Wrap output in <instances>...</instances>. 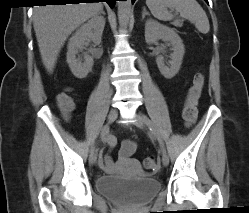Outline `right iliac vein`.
Segmentation results:
<instances>
[{"instance_id": "63e3f726", "label": "right iliac vein", "mask_w": 249, "mask_h": 213, "mask_svg": "<svg viewBox=\"0 0 249 213\" xmlns=\"http://www.w3.org/2000/svg\"><path fill=\"white\" fill-rule=\"evenodd\" d=\"M117 116H118L117 110H115V109L110 110V112L108 114V123L114 122L116 120ZM96 159H97V156H96V152L94 151L93 153L90 154L89 163L91 165L95 164Z\"/></svg>"}]
</instances>
